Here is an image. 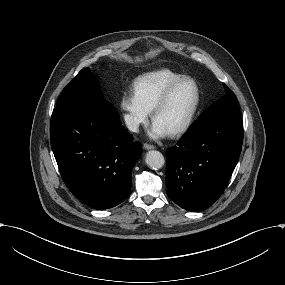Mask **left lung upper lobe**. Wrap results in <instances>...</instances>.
Listing matches in <instances>:
<instances>
[{
	"label": "left lung upper lobe",
	"instance_id": "obj_1",
	"mask_svg": "<svg viewBox=\"0 0 285 285\" xmlns=\"http://www.w3.org/2000/svg\"><path fill=\"white\" fill-rule=\"evenodd\" d=\"M224 88H225V94L223 97H221L219 100H217L216 102H214L201 116L199 119L205 117L206 115L218 111V110H222V109H226V108H231V107H239V103L238 100L235 96V94L229 89L228 86H226L225 84H223ZM198 119V120H199ZM197 120V121H198Z\"/></svg>",
	"mask_w": 285,
	"mask_h": 285
}]
</instances>
